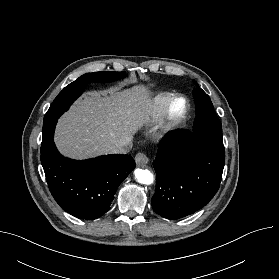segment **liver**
Returning <instances> with one entry per match:
<instances>
[{"label":"liver","instance_id":"obj_1","mask_svg":"<svg viewBox=\"0 0 279 279\" xmlns=\"http://www.w3.org/2000/svg\"><path fill=\"white\" fill-rule=\"evenodd\" d=\"M148 106L149 93L140 85L85 93L59 119L56 146L73 159L107 154L109 145L132 140L148 120Z\"/></svg>","mask_w":279,"mask_h":279}]
</instances>
